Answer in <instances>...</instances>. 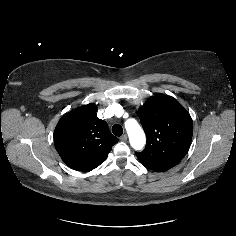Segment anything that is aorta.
Returning a JSON list of instances; mask_svg holds the SVG:
<instances>
[{
	"mask_svg": "<svg viewBox=\"0 0 236 236\" xmlns=\"http://www.w3.org/2000/svg\"><path fill=\"white\" fill-rule=\"evenodd\" d=\"M125 128L129 136L130 145L135 150H141L146 143V137L138 122L135 119H128L125 122Z\"/></svg>",
	"mask_w": 236,
	"mask_h": 236,
	"instance_id": "aorta-1",
	"label": "aorta"
}]
</instances>
